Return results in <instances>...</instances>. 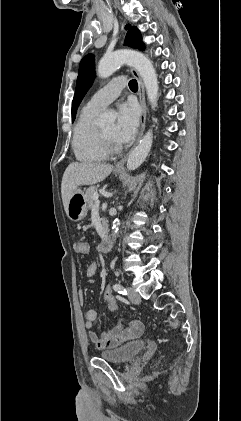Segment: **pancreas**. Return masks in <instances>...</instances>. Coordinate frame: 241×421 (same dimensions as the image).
Masks as SVG:
<instances>
[{"label": "pancreas", "instance_id": "pancreas-1", "mask_svg": "<svg viewBox=\"0 0 241 421\" xmlns=\"http://www.w3.org/2000/svg\"><path fill=\"white\" fill-rule=\"evenodd\" d=\"M96 192H97V188L95 186H91L90 188H88L86 190V193H85V201H86L87 207L89 209H91L92 206H93V201H94L93 200V196H94V193H96ZM102 222L103 223L105 222L104 218H102Z\"/></svg>", "mask_w": 241, "mask_h": 421}]
</instances>
